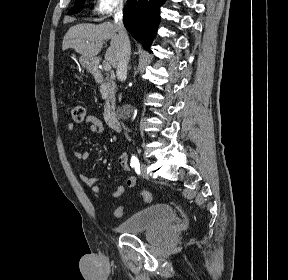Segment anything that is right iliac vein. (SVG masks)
<instances>
[{
    "label": "right iliac vein",
    "mask_w": 288,
    "mask_h": 280,
    "mask_svg": "<svg viewBox=\"0 0 288 280\" xmlns=\"http://www.w3.org/2000/svg\"><path fill=\"white\" fill-rule=\"evenodd\" d=\"M141 169H142L143 171H145L146 165L142 164Z\"/></svg>",
    "instance_id": "1"
}]
</instances>
